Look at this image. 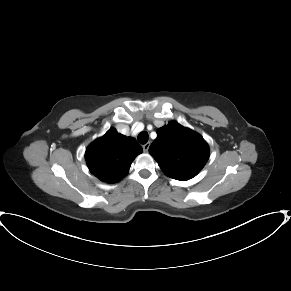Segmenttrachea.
<instances>
[{"label":"trachea","instance_id":"trachea-1","mask_svg":"<svg viewBox=\"0 0 291 291\" xmlns=\"http://www.w3.org/2000/svg\"><path fill=\"white\" fill-rule=\"evenodd\" d=\"M148 132L147 131H142L139 135H138V141L140 144H146L148 141Z\"/></svg>","mask_w":291,"mask_h":291}]
</instances>
